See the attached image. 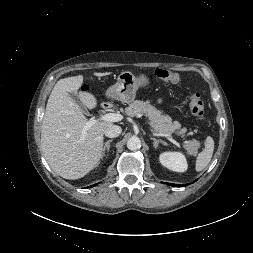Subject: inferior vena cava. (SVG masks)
<instances>
[{
  "mask_svg": "<svg viewBox=\"0 0 253 253\" xmlns=\"http://www.w3.org/2000/svg\"><path fill=\"white\" fill-rule=\"evenodd\" d=\"M121 132H122V129L120 126L110 125L105 129L104 134L106 137L114 138V137L119 136Z\"/></svg>",
  "mask_w": 253,
  "mask_h": 253,
  "instance_id": "obj_1",
  "label": "inferior vena cava"
}]
</instances>
